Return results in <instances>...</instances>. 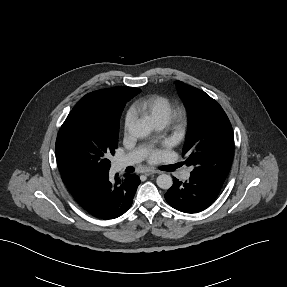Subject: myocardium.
Returning <instances> with one entry per match:
<instances>
[{
    "label": "myocardium",
    "mask_w": 287,
    "mask_h": 287,
    "mask_svg": "<svg viewBox=\"0 0 287 287\" xmlns=\"http://www.w3.org/2000/svg\"><path fill=\"white\" fill-rule=\"evenodd\" d=\"M189 120V111L186 107L180 106L172 110L168 125L176 136H181L186 129Z\"/></svg>",
    "instance_id": "myocardium-1"
}]
</instances>
